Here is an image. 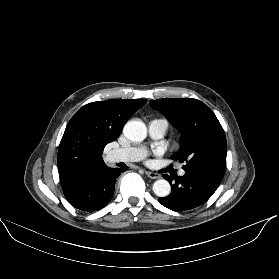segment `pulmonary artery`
Segmentation results:
<instances>
[{
  "mask_svg": "<svg viewBox=\"0 0 279 279\" xmlns=\"http://www.w3.org/2000/svg\"><path fill=\"white\" fill-rule=\"evenodd\" d=\"M149 134L153 139H160L164 136L167 129V121L164 119H154L149 123ZM145 150L141 146H131L125 148H117L109 153V159L112 162H136L144 158ZM179 174H185L184 170H180Z\"/></svg>",
  "mask_w": 279,
  "mask_h": 279,
  "instance_id": "pulmonary-artery-1",
  "label": "pulmonary artery"
}]
</instances>
